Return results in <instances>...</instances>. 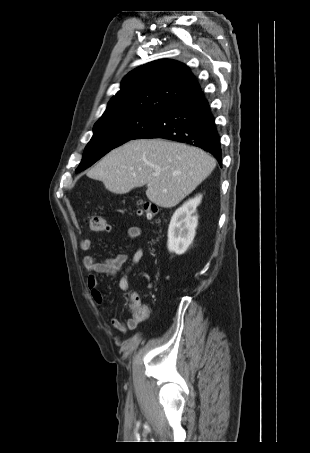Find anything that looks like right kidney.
Listing matches in <instances>:
<instances>
[{
	"instance_id": "1",
	"label": "right kidney",
	"mask_w": 310,
	"mask_h": 453,
	"mask_svg": "<svg viewBox=\"0 0 310 453\" xmlns=\"http://www.w3.org/2000/svg\"><path fill=\"white\" fill-rule=\"evenodd\" d=\"M202 195L189 199L173 214L168 228V250L177 255L186 252L192 243L198 225V216L194 215Z\"/></svg>"
}]
</instances>
